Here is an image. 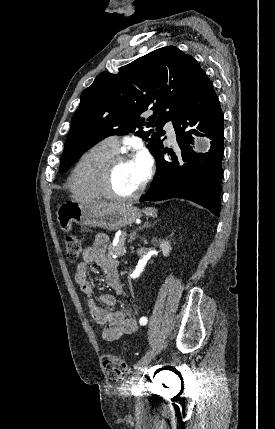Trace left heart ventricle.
I'll return each instance as SVG.
<instances>
[{
    "label": "left heart ventricle",
    "instance_id": "1",
    "mask_svg": "<svg viewBox=\"0 0 275 429\" xmlns=\"http://www.w3.org/2000/svg\"><path fill=\"white\" fill-rule=\"evenodd\" d=\"M142 182L133 159L117 165L113 175V189L119 195L134 193Z\"/></svg>",
    "mask_w": 275,
    "mask_h": 429
}]
</instances>
